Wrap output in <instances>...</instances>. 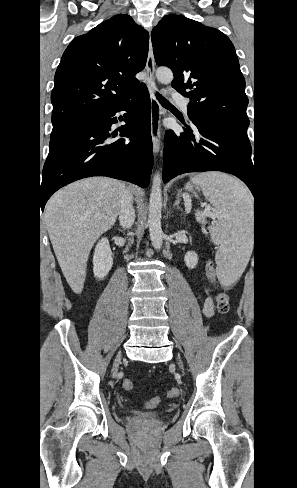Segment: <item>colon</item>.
<instances>
[{"label":"colon","instance_id":"1","mask_svg":"<svg viewBox=\"0 0 297 488\" xmlns=\"http://www.w3.org/2000/svg\"><path fill=\"white\" fill-rule=\"evenodd\" d=\"M216 272V266L212 260H208L205 264V273L208 278L214 279ZM216 304L219 312L226 313L229 310V297L224 292H218L216 295ZM123 388L127 391H131L134 388L133 382L129 379L123 382ZM180 390L177 387H173L167 390V397L175 398L179 395ZM160 403V398H153L146 403L148 409L156 408Z\"/></svg>","mask_w":297,"mask_h":488}]
</instances>
